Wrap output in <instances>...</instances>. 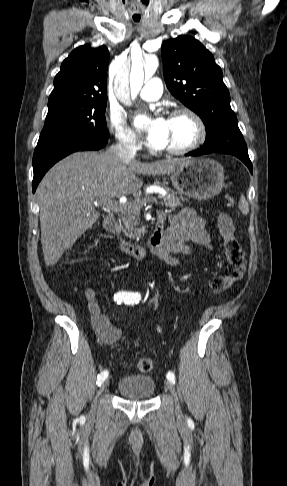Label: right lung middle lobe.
Here are the masks:
<instances>
[{
	"label": "right lung middle lobe",
	"mask_w": 287,
	"mask_h": 486,
	"mask_svg": "<svg viewBox=\"0 0 287 486\" xmlns=\"http://www.w3.org/2000/svg\"><path fill=\"white\" fill-rule=\"evenodd\" d=\"M106 104L107 99H89L48 107L37 147L107 139Z\"/></svg>",
	"instance_id": "dd1d6c3e"
}]
</instances>
